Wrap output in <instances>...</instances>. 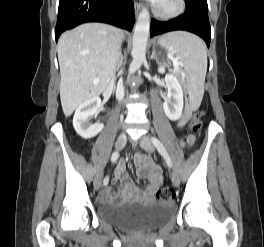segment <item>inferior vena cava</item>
I'll return each instance as SVG.
<instances>
[{
  "label": "inferior vena cava",
  "instance_id": "602c4592",
  "mask_svg": "<svg viewBox=\"0 0 264 247\" xmlns=\"http://www.w3.org/2000/svg\"><path fill=\"white\" fill-rule=\"evenodd\" d=\"M124 97V86L122 82H119L117 84V89H116V98L121 101Z\"/></svg>",
  "mask_w": 264,
  "mask_h": 247
}]
</instances>
